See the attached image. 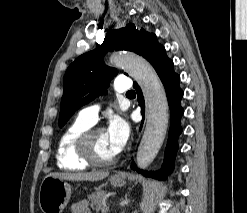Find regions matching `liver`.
Returning a JSON list of instances; mask_svg holds the SVG:
<instances>
[{"mask_svg": "<svg viewBox=\"0 0 247 213\" xmlns=\"http://www.w3.org/2000/svg\"><path fill=\"white\" fill-rule=\"evenodd\" d=\"M109 172L95 171V172H84V173H50L47 176L59 178L61 180L69 181H99L108 177Z\"/></svg>", "mask_w": 247, "mask_h": 213, "instance_id": "liver-1", "label": "liver"}]
</instances>
